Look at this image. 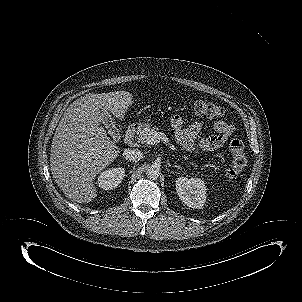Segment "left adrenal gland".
I'll return each mask as SVG.
<instances>
[{"mask_svg": "<svg viewBox=\"0 0 302 302\" xmlns=\"http://www.w3.org/2000/svg\"><path fill=\"white\" fill-rule=\"evenodd\" d=\"M174 167H176V168H178V169L180 168V167H179V166H177V165H175Z\"/></svg>", "mask_w": 302, "mask_h": 302, "instance_id": "obj_1", "label": "left adrenal gland"}]
</instances>
